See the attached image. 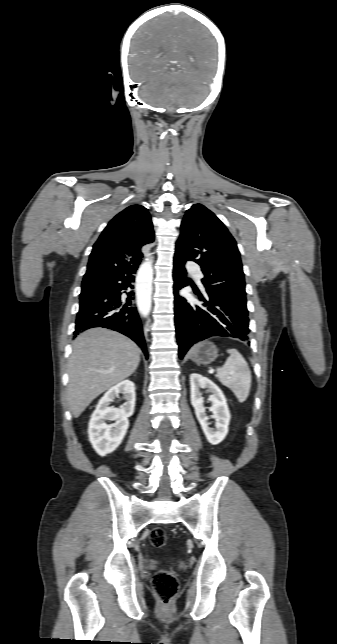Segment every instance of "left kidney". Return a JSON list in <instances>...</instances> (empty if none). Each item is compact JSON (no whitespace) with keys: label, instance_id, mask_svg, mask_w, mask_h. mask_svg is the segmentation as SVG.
<instances>
[{"label":"left kidney","instance_id":"obj_1","mask_svg":"<svg viewBox=\"0 0 337 644\" xmlns=\"http://www.w3.org/2000/svg\"><path fill=\"white\" fill-rule=\"evenodd\" d=\"M190 387L191 404L195 409V414L202 430L208 442L212 445H217L226 437L231 419L226 398L222 390L214 382L197 373L190 375ZM200 388H207V391L211 393L208 400L212 403L210 410L213 413L212 417L216 421L215 429L209 427L211 422H209V417L205 411L204 398Z\"/></svg>","mask_w":337,"mask_h":644}]
</instances>
